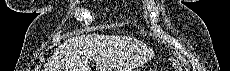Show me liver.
<instances>
[{
  "label": "liver",
  "mask_w": 230,
  "mask_h": 71,
  "mask_svg": "<svg viewBox=\"0 0 230 71\" xmlns=\"http://www.w3.org/2000/svg\"><path fill=\"white\" fill-rule=\"evenodd\" d=\"M153 57L151 49L126 36L78 35L58 47L47 71H92V60L96 71H132Z\"/></svg>",
  "instance_id": "6515ba94"
}]
</instances>
